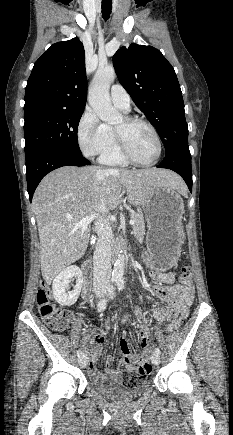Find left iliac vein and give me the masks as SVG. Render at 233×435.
Listing matches in <instances>:
<instances>
[{
    "label": "left iliac vein",
    "mask_w": 233,
    "mask_h": 435,
    "mask_svg": "<svg viewBox=\"0 0 233 435\" xmlns=\"http://www.w3.org/2000/svg\"><path fill=\"white\" fill-rule=\"evenodd\" d=\"M114 295V288L110 287L109 288V296L112 297ZM151 362L155 365H158L160 363V355L153 353L150 357Z\"/></svg>",
    "instance_id": "obj_1"
}]
</instances>
